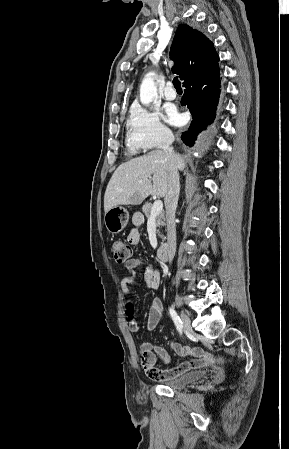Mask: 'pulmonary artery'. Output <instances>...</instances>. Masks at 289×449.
<instances>
[{
    "label": "pulmonary artery",
    "instance_id": "pulmonary-artery-1",
    "mask_svg": "<svg viewBox=\"0 0 289 449\" xmlns=\"http://www.w3.org/2000/svg\"><path fill=\"white\" fill-rule=\"evenodd\" d=\"M164 97L166 100H174L176 98V91L171 82H168L164 88Z\"/></svg>",
    "mask_w": 289,
    "mask_h": 449
}]
</instances>
